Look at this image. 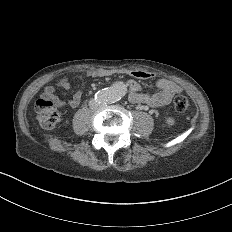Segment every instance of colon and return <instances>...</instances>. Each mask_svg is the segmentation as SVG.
Instances as JSON below:
<instances>
[{
    "label": "colon",
    "mask_w": 232,
    "mask_h": 232,
    "mask_svg": "<svg viewBox=\"0 0 232 232\" xmlns=\"http://www.w3.org/2000/svg\"><path fill=\"white\" fill-rule=\"evenodd\" d=\"M55 96H40L36 101L37 113L41 120L37 121L40 129H58L59 117L61 112L53 108ZM189 101V94H175L173 106L178 114H184V111H192V103Z\"/></svg>",
    "instance_id": "colon-1"
}]
</instances>
